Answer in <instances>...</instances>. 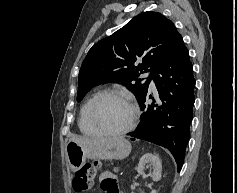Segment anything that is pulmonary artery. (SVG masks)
Returning a JSON list of instances; mask_svg holds the SVG:
<instances>
[{"mask_svg": "<svg viewBox=\"0 0 237 193\" xmlns=\"http://www.w3.org/2000/svg\"><path fill=\"white\" fill-rule=\"evenodd\" d=\"M150 88H151V89H153V90L155 89V83H154V81H153V80H151V83H150Z\"/></svg>", "mask_w": 237, "mask_h": 193, "instance_id": "obj_1", "label": "pulmonary artery"}]
</instances>
